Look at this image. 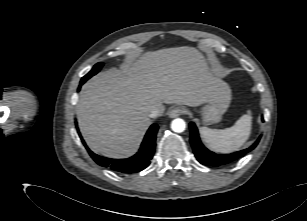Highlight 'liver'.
Wrapping results in <instances>:
<instances>
[{
	"label": "liver",
	"mask_w": 307,
	"mask_h": 221,
	"mask_svg": "<svg viewBox=\"0 0 307 221\" xmlns=\"http://www.w3.org/2000/svg\"><path fill=\"white\" fill-rule=\"evenodd\" d=\"M222 81L193 47L146 52L122 70L110 69L86 82L76 106L78 126L92 151L125 158L138 149L151 125L150 112L164 104L199 106Z\"/></svg>",
	"instance_id": "obj_1"
}]
</instances>
